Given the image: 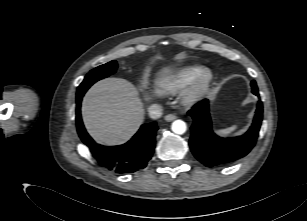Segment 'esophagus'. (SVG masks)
Listing matches in <instances>:
<instances>
[{"mask_svg": "<svg viewBox=\"0 0 307 221\" xmlns=\"http://www.w3.org/2000/svg\"><path fill=\"white\" fill-rule=\"evenodd\" d=\"M176 118H177V116L174 115V114H168V115H166V116L164 117V119H165L166 121H168V122L173 121V120H175Z\"/></svg>", "mask_w": 307, "mask_h": 221, "instance_id": "esophagus-1", "label": "esophagus"}]
</instances>
